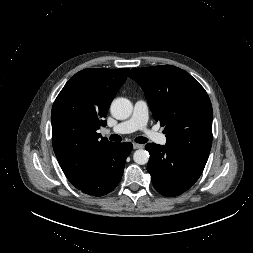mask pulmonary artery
Listing matches in <instances>:
<instances>
[{
  "label": "pulmonary artery",
  "mask_w": 253,
  "mask_h": 253,
  "mask_svg": "<svg viewBox=\"0 0 253 253\" xmlns=\"http://www.w3.org/2000/svg\"><path fill=\"white\" fill-rule=\"evenodd\" d=\"M147 122L148 105L144 100H137L134 104L131 117L128 120L114 126L112 129L106 130V132H112L115 134H127L137 130H142L150 140L160 145H165L167 142L166 137L159 132L148 129Z\"/></svg>",
  "instance_id": "obj_1"
}]
</instances>
